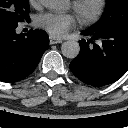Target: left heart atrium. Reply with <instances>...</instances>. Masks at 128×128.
<instances>
[{
	"mask_svg": "<svg viewBox=\"0 0 128 128\" xmlns=\"http://www.w3.org/2000/svg\"><path fill=\"white\" fill-rule=\"evenodd\" d=\"M75 24V17L71 13L45 12L35 18V25L38 28L54 36H62Z\"/></svg>",
	"mask_w": 128,
	"mask_h": 128,
	"instance_id": "1",
	"label": "left heart atrium"
}]
</instances>
